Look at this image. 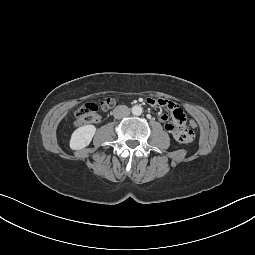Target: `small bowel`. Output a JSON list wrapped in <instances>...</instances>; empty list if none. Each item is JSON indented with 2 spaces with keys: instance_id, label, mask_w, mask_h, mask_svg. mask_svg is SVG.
<instances>
[{
  "instance_id": "1",
  "label": "small bowel",
  "mask_w": 255,
  "mask_h": 255,
  "mask_svg": "<svg viewBox=\"0 0 255 255\" xmlns=\"http://www.w3.org/2000/svg\"><path fill=\"white\" fill-rule=\"evenodd\" d=\"M145 104L148 107L170 111L168 116L166 113H161L159 119L165 124L166 130L169 131V135L173 140L188 145L197 139V134L189 127L185 111L178 102L173 99L148 96L145 99Z\"/></svg>"
}]
</instances>
